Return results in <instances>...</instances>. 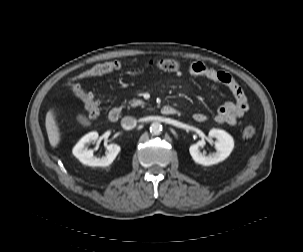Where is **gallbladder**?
Returning a JSON list of instances; mask_svg holds the SVG:
<instances>
[{"label": "gallbladder", "instance_id": "obj_1", "mask_svg": "<svg viewBox=\"0 0 303 252\" xmlns=\"http://www.w3.org/2000/svg\"><path fill=\"white\" fill-rule=\"evenodd\" d=\"M76 119L82 125H86L88 123L87 118L84 115H82V114H78L77 117H76Z\"/></svg>", "mask_w": 303, "mask_h": 252}]
</instances>
